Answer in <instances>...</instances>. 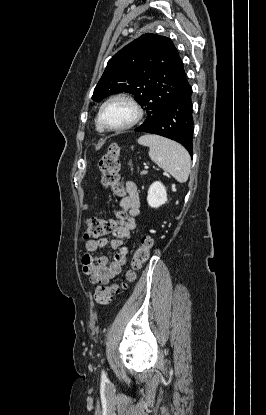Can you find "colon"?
<instances>
[{
    "instance_id": "5ec220e1",
    "label": "colon",
    "mask_w": 266,
    "mask_h": 415,
    "mask_svg": "<svg viewBox=\"0 0 266 415\" xmlns=\"http://www.w3.org/2000/svg\"><path fill=\"white\" fill-rule=\"evenodd\" d=\"M119 157V147L117 145H111L99 160L101 182L103 186L110 188L116 195L123 194L119 176ZM111 230L112 222L110 220L92 217L86 220L84 237L87 239H97L109 233ZM153 244L154 241L151 236H143L139 246L133 254L130 269L125 275V281L110 286H100L96 288L94 298L98 305L107 306L112 301L115 294H119L126 288L127 282L135 279L136 271L148 260Z\"/></svg>"
}]
</instances>
